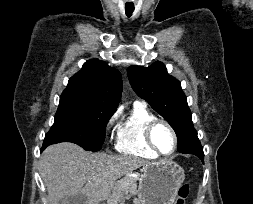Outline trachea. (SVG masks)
<instances>
[{
	"label": "trachea",
	"instance_id": "trachea-1",
	"mask_svg": "<svg viewBox=\"0 0 253 204\" xmlns=\"http://www.w3.org/2000/svg\"><path fill=\"white\" fill-rule=\"evenodd\" d=\"M133 12H134V5L133 4H126L125 5V14H126V16L131 17Z\"/></svg>",
	"mask_w": 253,
	"mask_h": 204
}]
</instances>
